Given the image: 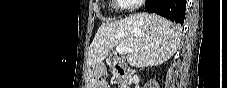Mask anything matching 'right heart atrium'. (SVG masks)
Here are the masks:
<instances>
[{
  "label": "right heart atrium",
  "instance_id": "1",
  "mask_svg": "<svg viewBox=\"0 0 227 88\" xmlns=\"http://www.w3.org/2000/svg\"><path fill=\"white\" fill-rule=\"evenodd\" d=\"M128 11H133L140 8L144 3L145 0H119Z\"/></svg>",
  "mask_w": 227,
  "mask_h": 88
}]
</instances>
